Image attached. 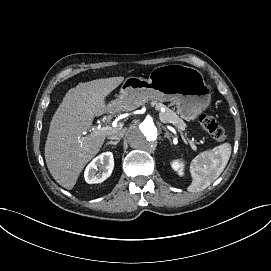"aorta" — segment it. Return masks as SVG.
<instances>
[{
  "label": "aorta",
  "instance_id": "1",
  "mask_svg": "<svg viewBox=\"0 0 271 271\" xmlns=\"http://www.w3.org/2000/svg\"><path fill=\"white\" fill-rule=\"evenodd\" d=\"M157 127L151 119L137 120L127 132V140L131 148L139 152H149L154 149L157 140Z\"/></svg>",
  "mask_w": 271,
  "mask_h": 271
}]
</instances>
